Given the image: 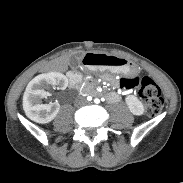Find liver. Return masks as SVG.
Returning a JSON list of instances; mask_svg holds the SVG:
<instances>
[{"instance_id": "obj_1", "label": "liver", "mask_w": 183, "mask_h": 183, "mask_svg": "<svg viewBox=\"0 0 183 183\" xmlns=\"http://www.w3.org/2000/svg\"><path fill=\"white\" fill-rule=\"evenodd\" d=\"M58 70L60 71H63L66 69V65H65V62H61L58 67H57Z\"/></svg>"}]
</instances>
